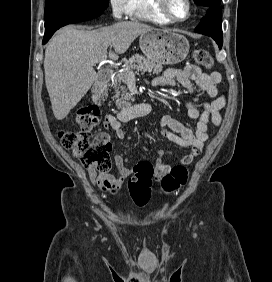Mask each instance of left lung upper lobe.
<instances>
[{
  "mask_svg": "<svg viewBox=\"0 0 272 282\" xmlns=\"http://www.w3.org/2000/svg\"><path fill=\"white\" fill-rule=\"evenodd\" d=\"M196 4L202 5L205 8L208 7H218L221 0H194Z\"/></svg>",
  "mask_w": 272,
  "mask_h": 282,
  "instance_id": "left-lung-upper-lobe-1",
  "label": "left lung upper lobe"
}]
</instances>
